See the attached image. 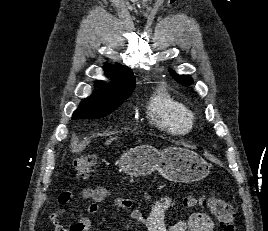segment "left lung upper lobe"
<instances>
[{
	"label": "left lung upper lobe",
	"instance_id": "obj_1",
	"mask_svg": "<svg viewBox=\"0 0 268 231\" xmlns=\"http://www.w3.org/2000/svg\"><path fill=\"white\" fill-rule=\"evenodd\" d=\"M171 74L173 76V78L180 84L184 85V86H189L193 83V80L190 76H186V75H177L175 74L173 71H171Z\"/></svg>",
	"mask_w": 268,
	"mask_h": 231
}]
</instances>
